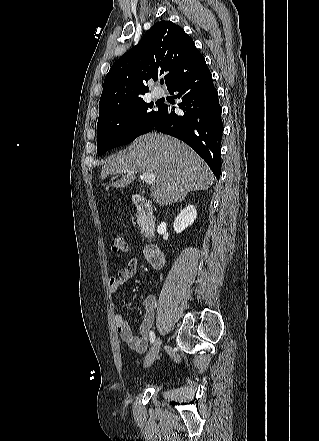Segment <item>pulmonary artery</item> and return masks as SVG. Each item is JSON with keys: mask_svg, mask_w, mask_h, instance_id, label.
<instances>
[{"mask_svg": "<svg viewBox=\"0 0 319 441\" xmlns=\"http://www.w3.org/2000/svg\"><path fill=\"white\" fill-rule=\"evenodd\" d=\"M152 95H153L154 98L158 99V98H161L163 96V92L161 90L154 89L152 91Z\"/></svg>", "mask_w": 319, "mask_h": 441, "instance_id": "pulmonary-artery-1", "label": "pulmonary artery"}]
</instances>
